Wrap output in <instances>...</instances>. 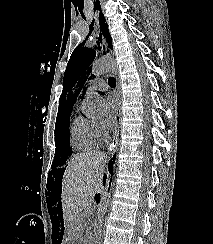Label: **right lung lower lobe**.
<instances>
[{
  "mask_svg": "<svg viewBox=\"0 0 213 244\" xmlns=\"http://www.w3.org/2000/svg\"><path fill=\"white\" fill-rule=\"evenodd\" d=\"M113 162H115V155L113 156V158L111 159V161L109 162V172H111V174H112V164H113Z\"/></svg>",
  "mask_w": 213,
  "mask_h": 244,
  "instance_id": "1",
  "label": "right lung lower lobe"
}]
</instances>
